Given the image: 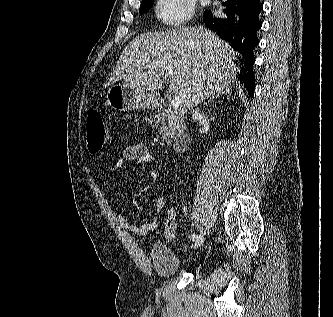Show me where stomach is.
Wrapping results in <instances>:
<instances>
[{
    "mask_svg": "<svg viewBox=\"0 0 333 317\" xmlns=\"http://www.w3.org/2000/svg\"><path fill=\"white\" fill-rule=\"evenodd\" d=\"M107 101L118 111L141 110L156 105L154 94L146 93L127 81L112 85L107 92Z\"/></svg>",
    "mask_w": 333,
    "mask_h": 317,
    "instance_id": "1",
    "label": "stomach"
}]
</instances>
